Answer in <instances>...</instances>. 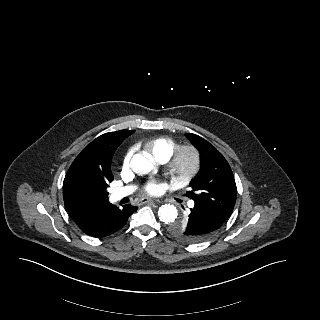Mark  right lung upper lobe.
<instances>
[{"label": "right lung upper lobe", "instance_id": "obj_1", "mask_svg": "<svg viewBox=\"0 0 320 320\" xmlns=\"http://www.w3.org/2000/svg\"><path fill=\"white\" fill-rule=\"evenodd\" d=\"M134 130H120L105 133L90 144H88L81 153L76 157L70 166L65 179L78 178L84 176H103L107 179H113L111 172V161L117 147L131 134ZM66 209L80 207L70 202L63 192Z\"/></svg>", "mask_w": 320, "mask_h": 320}]
</instances>
